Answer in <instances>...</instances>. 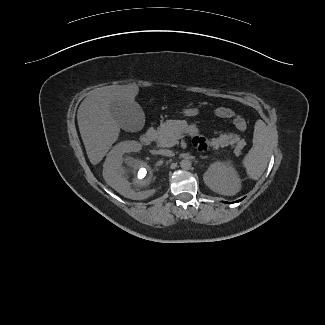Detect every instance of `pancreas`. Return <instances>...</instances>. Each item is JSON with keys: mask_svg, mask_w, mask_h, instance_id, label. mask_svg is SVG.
Wrapping results in <instances>:
<instances>
[{"mask_svg": "<svg viewBox=\"0 0 325 325\" xmlns=\"http://www.w3.org/2000/svg\"><path fill=\"white\" fill-rule=\"evenodd\" d=\"M158 147H173L178 144V139L183 133L189 135H196L199 133L196 125H188L185 120H168L162 123L158 128ZM213 148L218 149L219 147L231 146L234 148V154L239 156L241 150L246 145L244 139H241L237 134L228 133L221 134L218 138L211 140Z\"/></svg>", "mask_w": 325, "mask_h": 325, "instance_id": "pancreas-1", "label": "pancreas"}]
</instances>
